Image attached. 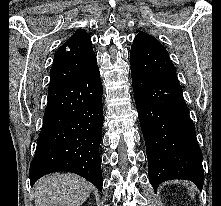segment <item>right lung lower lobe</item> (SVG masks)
<instances>
[{
  "mask_svg": "<svg viewBox=\"0 0 221 206\" xmlns=\"http://www.w3.org/2000/svg\"><path fill=\"white\" fill-rule=\"evenodd\" d=\"M102 90L97 65L48 89L43 126L30 166L31 186L45 174L66 171L84 177L102 190Z\"/></svg>",
  "mask_w": 221,
  "mask_h": 206,
  "instance_id": "98d812e1",
  "label": "right lung lower lobe"
}]
</instances>
